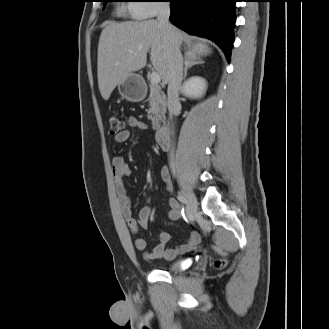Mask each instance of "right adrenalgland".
<instances>
[{
    "mask_svg": "<svg viewBox=\"0 0 329 329\" xmlns=\"http://www.w3.org/2000/svg\"><path fill=\"white\" fill-rule=\"evenodd\" d=\"M203 63H204V61L200 58H192V57L185 55V61H184L185 68H184L183 79H186L187 71L189 68H191L194 65L203 64Z\"/></svg>",
    "mask_w": 329,
    "mask_h": 329,
    "instance_id": "1",
    "label": "right adrenal gland"
}]
</instances>
